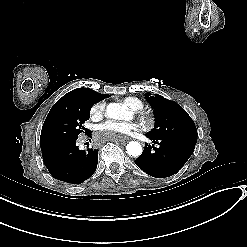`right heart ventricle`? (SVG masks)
<instances>
[{
	"label": "right heart ventricle",
	"mask_w": 247,
	"mask_h": 247,
	"mask_svg": "<svg viewBox=\"0 0 247 247\" xmlns=\"http://www.w3.org/2000/svg\"><path fill=\"white\" fill-rule=\"evenodd\" d=\"M121 103L128 108L132 115L144 106V103L140 99L134 97H125L121 99Z\"/></svg>",
	"instance_id": "obj_1"
}]
</instances>
